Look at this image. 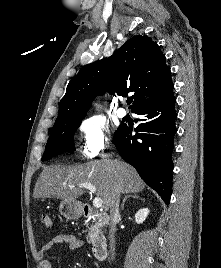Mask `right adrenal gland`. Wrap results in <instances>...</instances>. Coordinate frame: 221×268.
Segmentation results:
<instances>
[{"mask_svg": "<svg viewBox=\"0 0 221 268\" xmlns=\"http://www.w3.org/2000/svg\"><path fill=\"white\" fill-rule=\"evenodd\" d=\"M130 197H132V198H134V199H138V198H139V196H138L136 193H133V194H131V195H126V196L123 198V201H122V203H121V210H124L125 202H126V200H127L128 198H130Z\"/></svg>", "mask_w": 221, "mask_h": 268, "instance_id": "1", "label": "right adrenal gland"}]
</instances>
